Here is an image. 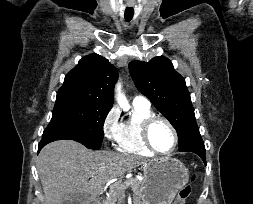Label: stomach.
Instances as JSON below:
<instances>
[{
  "instance_id": "0dacf381",
  "label": "stomach",
  "mask_w": 253,
  "mask_h": 204,
  "mask_svg": "<svg viewBox=\"0 0 253 204\" xmlns=\"http://www.w3.org/2000/svg\"><path fill=\"white\" fill-rule=\"evenodd\" d=\"M188 178V170L178 159H154L143 167V181L138 196L142 204H172Z\"/></svg>"
}]
</instances>
